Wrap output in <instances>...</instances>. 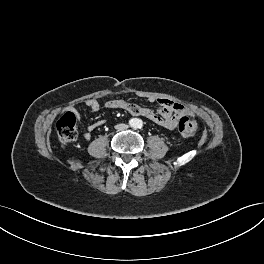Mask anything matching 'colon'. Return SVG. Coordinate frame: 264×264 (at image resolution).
Wrapping results in <instances>:
<instances>
[{
    "label": "colon",
    "mask_w": 264,
    "mask_h": 264,
    "mask_svg": "<svg viewBox=\"0 0 264 264\" xmlns=\"http://www.w3.org/2000/svg\"><path fill=\"white\" fill-rule=\"evenodd\" d=\"M179 132L186 138H192L196 135L198 124L194 118L184 116L180 119L178 125ZM56 130L59 141L67 146L77 138L76 115L68 111L63 114L56 123Z\"/></svg>",
    "instance_id": "colon-1"
}]
</instances>
